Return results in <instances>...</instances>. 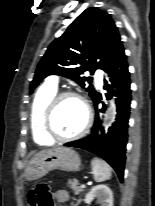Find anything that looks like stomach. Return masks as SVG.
I'll return each mask as SVG.
<instances>
[{
	"label": "stomach",
	"instance_id": "stomach-1",
	"mask_svg": "<svg viewBox=\"0 0 155 206\" xmlns=\"http://www.w3.org/2000/svg\"><path fill=\"white\" fill-rule=\"evenodd\" d=\"M80 167L81 159L77 152L67 147H57L36 154L25 171V177L33 181L55 169L74 172Z\"/></svg>",
	"mask_w": 155,
	"mask_h": 206
}]
</instances>
